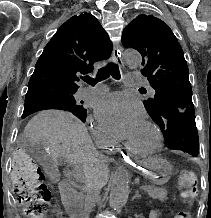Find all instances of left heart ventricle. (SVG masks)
I'll list each match as a JSON object with an SVG mask.
<instances>
[{
    "instance_id": "1",
    "label": "left heart ventricle",
    "mask_w": 211,
    "mask_h": 218,
    "mask_svg": "<svg viewBox=\"0 0 211 218\" xmlns=\"http://www.w3.org/2000/svg\"><path fill=\"white\" fill-rule=\"evenodd\" d=\"M131 146L138 148H148L154 141V136L148 126L145 124L135 134L128 138Z\"/></svg>"
}]
</instances>
